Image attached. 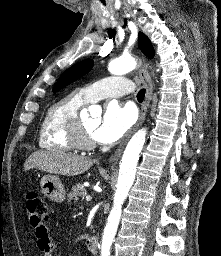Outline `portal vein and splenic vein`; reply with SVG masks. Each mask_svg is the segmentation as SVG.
<instances>
[{"label":"portal vein and splenic vein","instance_id":"18ae733b","mask_svg":"<svg viewBox=\"0 0 221 256\" xmlns=\"http://www.w3.org/2000/svg\"><path fill=\"white\" fill-rule=\"evenodd\" d=\"M86 201H91V196L90 195L86 196Z\"/></svg>","mask_w":221,"mask_h":256}]
</instances>
